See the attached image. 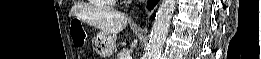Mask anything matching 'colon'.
I'll return each mask as SVG.
<instances>
[{
  "instance_id": "5ec220e1",
  "label": "colon",
  "mask_w": 261,
  "mask_h": 59,
  "mask_svg": "<svg viewBox=\"0 0 261 59\" xmlns=\"http://www.w3.org/2000/svg\"><path fill=\"white\" fill-rule=\"evenodd\" d=\"M77 39H78V40H81V37H80V36H77Z\"/></svg>"
}]
</instances>
